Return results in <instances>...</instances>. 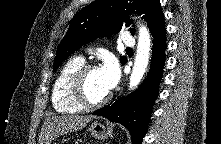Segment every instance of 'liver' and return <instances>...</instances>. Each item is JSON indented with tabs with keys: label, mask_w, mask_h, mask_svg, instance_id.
<instances>
[{
	"label": "liver",
	"mask_w": 221,
	"mask_h": 144,
	"mask_svg": "<svg viewBox=\"0 0 221 144\" xmlns=\"http://www.w3.org/2000/svg\"><path fill=\"white\" fill-rule=\"evenodd\" d=\"M91 119V115H61L48 117L43 123L39 144H51L52 140L60 135L82 129Z\"/></svg>",
	"instance_id": "obj_1"
}]
</instances>
